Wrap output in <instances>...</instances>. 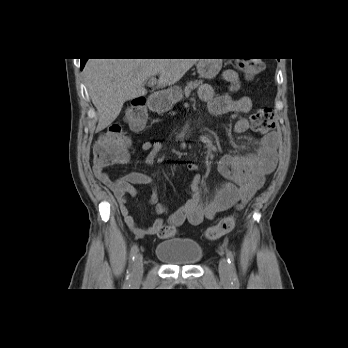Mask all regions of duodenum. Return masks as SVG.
Here are the masks:
<instances>
[{"mask_svg": "<svg viewBox=\"0 0 348 348\" xmlns=\"http://www.w3.org/2000/svg\"><path fill=\"white\" fill-rule=\"evenodd\" d=\"M160 100H161V98L157 95L150 96L149 104L153 110H155V111L157 110V105L160 102Z\"/></svg>", "mask_w": 348, "mask_h": 348, "instance_id": "1", "label": "duodenum"}]
</instances>
